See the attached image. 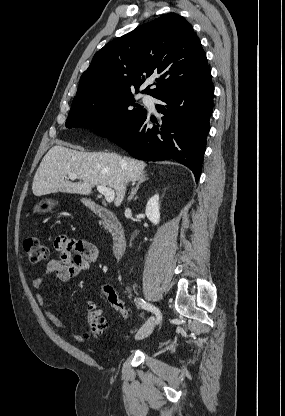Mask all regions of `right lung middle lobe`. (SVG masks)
<instances>
[{
  "instance_id": "dd1d6c3e",
  "label": "right lung middle lobe",
  "mask_w": 285,
  "mask_h": 416,
  "mask_svg": "<svg viewBox=\"0 0 285 416\" xmlns=\"http://www.w3.org/2000/svg\"><path fill=\"white\" fill-rule=\"evenodd\" d=\"M133 96H125L91 104L87 107L72 110L66 120V127L90 128L102 137L110 138L137 123L147 114L143 106L135 104ZM130 106L136 108L131 109Z\"/></svg>"
}]
</instances>
